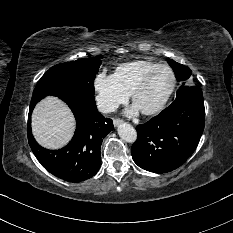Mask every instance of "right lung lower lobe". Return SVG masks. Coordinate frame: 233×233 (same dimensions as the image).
Returning <instances> with one entry per match:
<instances>
[{"label":"right lung lower lobe","instance_id":"1","mask_svg":"<svg viewBox=\"0 0 233 233\" xmlns=\"http://www.w3.org/2000/svg\"><path fill=\"white\" fill-rule=\"evenodd\" d=\"M42 98L31 101L28 116V141L39 162L53 175L69 182H81L94 176L101 166L100 148L103 139L113 130L111 119L104 118L94 100L66 96V102L74 113L77 127L72 140L59 150L41 147L31 132V113Z\"/></svg>","mask_w":233,"mask_h":233}]
</instances>
